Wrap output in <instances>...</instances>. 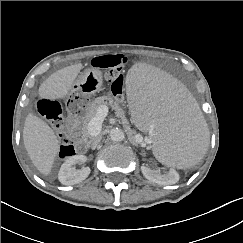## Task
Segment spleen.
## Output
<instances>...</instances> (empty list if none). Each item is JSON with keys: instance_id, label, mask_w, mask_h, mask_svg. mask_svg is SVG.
<instances>
[{"instance_id": "1", "label": "spleen", "mask_w": 243, "mask_h": 243, "mask_svg": "<svg viewBox=\"0 0 243 243\" xmlns=\"http://www.w3.org/2000/svg\"><path fill=\"white\" fill-rule=\"evenodd\" d=\"M130 113L160 163L187 171L204 157L209 130L190 92L171 76L148 65L125 79Z\"/></svg>"}]
</instances>
